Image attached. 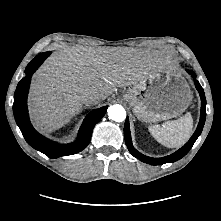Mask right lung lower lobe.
Wrapping results in <instances>:
<instances>
[{"mask_svg": "<svg viewBox=\"0 0 221 221\" xmlns=\"http://www.w3.org/2000/svg\"><path fill=\"white\" fill-rule=\"evenodd\" d=\"M50 54L51 52L40 53L27 65L25 69L26 76L18 83L14 94L13 112L16 123L27 143L50 158H58L61 156L76 154L89 144L92 130L105 115L107 106L95 109L86 116L79 130L78 138L73 143L58 144L39 134L33 128L29 120L27 94L32 74Z\"/></svg>", "mask_w": 221, "mask_h": 221, "instance_id": "1", "label": "right lung lower lobe"}]
</instances>
